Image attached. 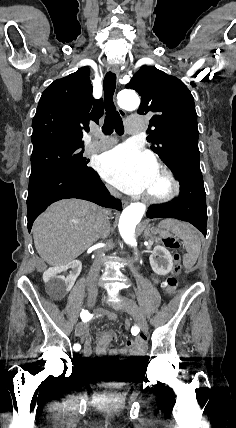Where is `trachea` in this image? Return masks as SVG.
Instances as JSON below:
<instances>
[{"label": "trachea", "mask_w": 236, "mask_h": 428, "mask_svg": "<svg viewBox=\"0 0 236 428\" xmlns=\"http://www.w3.org/2000/svg\"><path fill=\"white\" fill-rule=\"evenodd\" d=\"M116 81L117 79L115 73H112L111 71L106 73L103 82L106 117L102 127V131L105 135H111L114 128L119 135H123L124 133L122 118L120 117L113 103Z\"/></svg>", "instance_id": "3493384b"}]
</instances>
